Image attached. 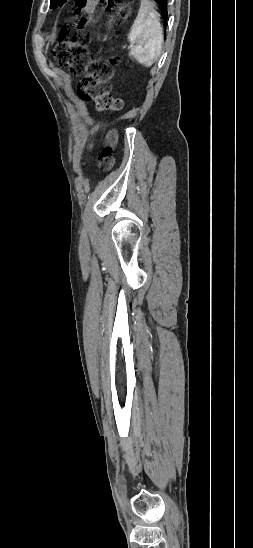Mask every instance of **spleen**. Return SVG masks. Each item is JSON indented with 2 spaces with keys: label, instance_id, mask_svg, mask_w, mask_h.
I'll use <instances>...</instances> for the list:
<instances>
[{
  "label": "spleen",
  "instance_id": "spleen-1",
  "mask_svg": "<svg viewBox=\"0 0 253 548\" xmlns=\"http://www.w3.org/2000/svg\"><path fill=\"white\" fill-rule=\"evenodd\" d=\"M134 44L130 55L144 67H151L161 54L163 29L160 18L149 0H141L138 15L128 35Z\"/></svg>",
  "mask_w": 253,
  "mask_h": 548
}]
</instances>
